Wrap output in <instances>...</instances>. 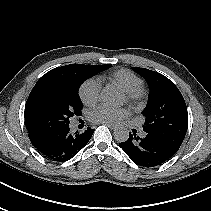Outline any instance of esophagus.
<instances>
[{
  "label": "esophagus",
  "mask_w": 211,
  "mask_h": 211,
  "mask_svg": "<svg viewBox=\"0 0 211 211\" xmlns=\"http://www.w3.org/2000/svg\"><path fill=\"white\" fill-rule=\"evenodd\" d=\"M103 124L106 125L107 127H109V128L112 129V130H114V129L117 128V126L114 125V124H110V123H103Z\"/></svg>",
  "instance_id": "34e87169"
}]
</instances>
